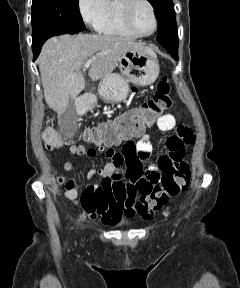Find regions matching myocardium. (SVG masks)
Instances as JSON below:
<instances>
[{
    "instance_id": "myocardium-1",
    "label": "myocardium",
    "mask_w": 240,
    "mask_h": 288,
    "mask_svg": "<svg viewBox=\"0 0 240 288\" xmlns=\"http://www.w3.org/2000/svg\"><path fill=\"white\" fill-rule=\"evenodd\" d=\"M140 3L146 4L150 8L151 13L153 15L154 29L149 34H141L137 32L133 25V13L137 5ZM121 11H122V18H123V23L125 27L136 37L148 38V37L153 36L157 32L158 27H159V21H158L155 7L151 3L150 0H121Z\"/></svg>"
}]
</instances>
